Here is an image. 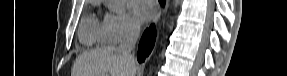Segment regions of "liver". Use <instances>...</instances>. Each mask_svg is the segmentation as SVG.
<instances>
[{"instance_id":"obj_1","label":"liver","mask_w":287,"mask_h":76,"mask_svg":"<svg viewBox=\"0 0 287 76\" xmlns=\"http://www.w3.org/2000/svg\"><path fill=\"white\" fill-rule=\"evenodd\" d=\"M135 76L136 66L116 47H104L80 55L73 76Z\"/></svg>"}]
</instances>
